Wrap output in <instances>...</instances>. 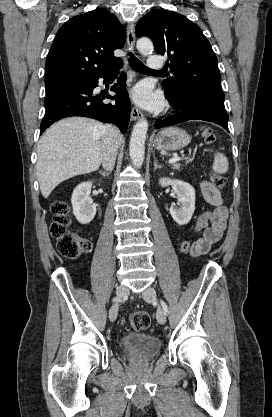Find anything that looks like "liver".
<instances>
[{"label": "liver", "instance_id": "6515ba94", "mask_svg": "<svg viewBox=\"0 0 272 417\" xmlns=\"http://www.w3.org/2000/svg\"><path fill=\"white\" fill-rule=\"evenodd\" d=\"M104 126L93 119L71 117L55 123L44 133L39 140L36 165L44 198L63 181L100 167Z\"/></svg>", "mask_w": 272, "mask_h": 417}]
</instances>
